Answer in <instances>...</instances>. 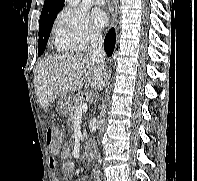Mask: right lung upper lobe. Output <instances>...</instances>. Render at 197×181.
Returning <instances> with one entry per match:
<instances>
[{"label":"right lung upper lobe","mask_w":197,"mask_h":181,"mask_svg":"<svg viewBox=\"0 0 197 181\" xmlns=\"http://www.w3.org/2000/svg\"><path fill=\"white\" fill-rule=\"evenodd\" d=\"M65 0H45L41 16L58 13L64 6Z\"/></svg>","instance_id":"cb5924a9"}]
</instances>
